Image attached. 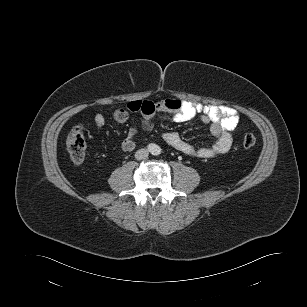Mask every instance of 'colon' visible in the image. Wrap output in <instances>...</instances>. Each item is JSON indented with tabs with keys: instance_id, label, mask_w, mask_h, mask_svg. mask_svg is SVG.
Instances as JSON below:
<instances>
[{
	"instance_id": "5ec220e1",
	"label": "colon",
	"mask_w": 307,
	"mask_h": 307,
	"mask_svg": "<svg viewBox=\"0 0 307 307\" xmlns=\"http://www.w3.org/2000/svg\"><path fill=\"white\" fill-rule=\"evenodd\" d=\"M256 139L252 134H246L243 137L242 145L244 148H252ZM67 150L74 163H81L85 157L86 137L85 129L79 125L74 127L67 138Z\"/></svg>"
}]
</instances>
